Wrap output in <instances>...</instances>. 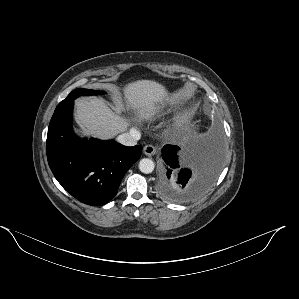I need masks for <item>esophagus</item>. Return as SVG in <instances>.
<instances>
[{
	"mask_svg": "<svg viewBox=\"0 0 299 299\" xmlns=\"http://www.w3.org/2000/svg\"><path fill=\"white\" fill-rule=\"evenodd\" d=\"M143 152L147 156H153L157 152V148L153 145H146L143 149Z\"/></svg>",
	"mask_w": 299,
	"mask_h": 299,
	"instance_id": "34e87169",
	"label": "esophagus"
}]
</instances>
